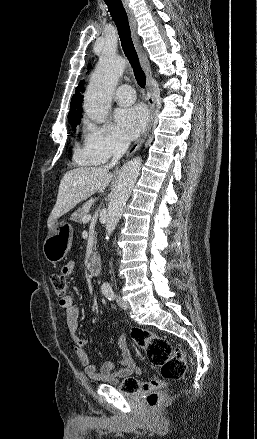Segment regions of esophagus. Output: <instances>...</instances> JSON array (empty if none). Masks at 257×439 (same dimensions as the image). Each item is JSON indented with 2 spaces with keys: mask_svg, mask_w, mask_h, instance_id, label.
Masks as SVG:
<instances>
[{
  "mask_svg": "<svg viewBox=\"0 0 257 439\" xmlns=\"http://www.w3.org/2000/svg\"><path fill=\"white\" fill-rule=\"evenodd\" d=\"M121 1H122L123 7L126 11V14H127L128 20H129L130 29H131V36H132V40H133L135 49L138 53L139 59L141 61V64H142L143 69H144L145 74H146V83H147V88L149 90V92H148V105H149L148 125H147L144 133L141 135V137L127 151L126 156H130V155L134 154L141 147V145L144 143L145 139L147 138V136L151 130L154 115H155L156 101H155V97H154V94L152 92V86H151L152 72H151V68H150L147 54L142 47V42H141V39H140L138 32H137L138 26H137L135 16L133 14V11L129 7L127 0H121Z\"/></svg>",
  "mask_w": 257,
  "mask_h": 439,
  "instance_id": "1",
  "label": "esophagus"
}]
</instances>
